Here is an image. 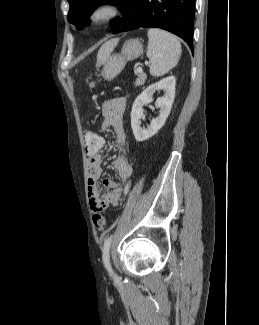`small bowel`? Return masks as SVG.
I'll return each instance as SVG.
<instances>
[{
  "mask_svg": "<svg viewBox=\"0 0 259 325\" xmlns=\"http://www.w3.org/2000/svg\"><path fill=\"white\" fill-rule=\"evenodd\" d=\"M126 109V100L124 98H114L105 101L102 104V129L107 131L113 129L117 142L125 144L126 136L123 127V116ZM96 135H99L96 133ZM100 149H86V154L89 163V181H88V198L89 204L93 211H101L109 205H116L122 198L126 191H128V183L123 186L121 183L127 182L133 173V167L124 155H120L113 161V168L115 169L118 179L121 183L113 178H105L103 184L109 191L101 194L99 190L98 181L102 175L101 162L103 155L101 150L105 145V139Z\"/></svg>",
  "mask_w": 259,
  "mask_h": 325,
  "instance_id": "c3829d8e",
  "label": "small bowel"
}]
</instances>
